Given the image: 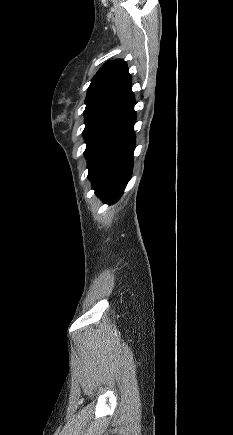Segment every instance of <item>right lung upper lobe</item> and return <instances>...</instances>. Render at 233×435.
Here are the masks:
<instances>
[{
  "instance_id": "right-lung-upper-lobe-1",
  "label": "right lung upper lobe",
  "mask_w": 233,
  "mask_h": 435,
  "mask_svg": "<svg viewBox=\"0 0 233 435\" xmlns=\"http://www.w3.org/2000/svg\"><path fill=\"white\" fill-rule=\"evenodd\" d=\"M131 75L124 60L107 61L91 80L84 115L112 114L126 117L134 110Z\"/></svg>"
}]
</instances>
